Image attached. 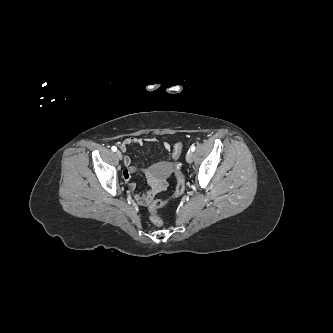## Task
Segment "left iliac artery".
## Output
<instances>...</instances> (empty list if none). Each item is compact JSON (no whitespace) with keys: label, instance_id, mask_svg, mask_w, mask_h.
<instances>
[{"label":"left iliac artery","instance_id":"44dca946","mask_svg":"<svg viewBox=\"0 0 333 333\" xmlns=\"http://www.w3.org/2000/svg\"><path fill=\"white\" fill-rule=\"evenodd\" d=\"M191 151L194 152L195 151V145L191 146Z\"/></svg>","mask_w":333,"mask_h":333}]
</instances>
